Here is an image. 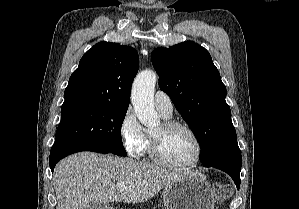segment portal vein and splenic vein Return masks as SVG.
<instances>
[{
	"label": "portal vein and splenic vein",
	"instance_id": "obj_1",
	"mask_svg": "<svg viewBox=\"0 0 299 209\" xmlns=\"http://www.w3.org/2000/svg\"><path fill=\"white\" fill-rule=\"evenodd\" d=\"M124 188H125L124 185H119V186H118V189H119L120 192H122V191L124 190Z\"/></svg>",
	"mask_w": 299,
	"mask_h": 209
}]
</instances>
